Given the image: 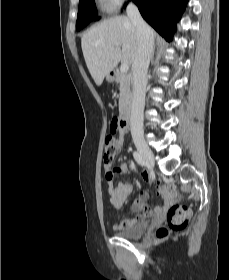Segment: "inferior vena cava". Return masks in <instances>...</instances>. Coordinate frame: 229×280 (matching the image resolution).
<instances>
[{"mask_svg":"<svg viewBox=\"0 0 229 280\" xmlns=\"http://www.w3.org/2000/svg\"><path fill=\"white\" fill-rule=\"evenodd\" d=\"M127 15L136 27L138 36V50L132 64L133 72V100L131 108V134L143 136V111L147 85V71L153 53L154 36L152 29L140 15L137 6L130 3Z\"/></svg>","mask_w":229,"mask_h":280,"instance_id":"inferior-vena-cava-1","label":"inferior vena cava"}]
</instances>
